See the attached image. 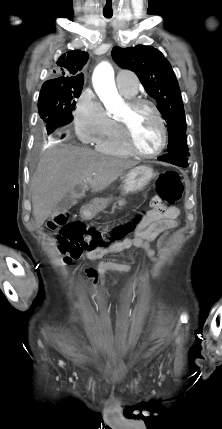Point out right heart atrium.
Wrapping results in <instances>:
<instances>
[{"label":"right heart atrium","mask_w":222,"mask_h":429,"mask_svg":"<svg viewBox=\"0 0 222 429\" xmlns=\"http://www.w3.org/2000/svg\"><path fill=\"white\" fill-rule=\"evenodd\" d=\"M75 130L84 143L97 142L108 130L110 118L90 89L78 97L73 111Z\"/></svg>","instance_id":"d8ad5b80"}]
</instances>
